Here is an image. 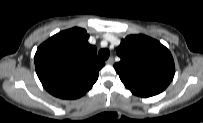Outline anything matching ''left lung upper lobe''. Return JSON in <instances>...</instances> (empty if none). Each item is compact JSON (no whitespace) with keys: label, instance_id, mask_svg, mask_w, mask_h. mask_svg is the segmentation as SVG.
I'll use <instances>...</instances> for the list:
<instances>
[{"label":"left lung upper lobe","instance_id":"left-lung-upper-lobe-1","mask_svg":"<svg viewBox=\"0 0 203 123\" xmlns=\"http://www.w3.org/2000/svg\"><path fill=\"white\" fill-rule=\"evenodd\" d=\"M114 64L123 84L135 95L151 97L164 91L175 74L170 51L148 36L129 35L117 48Z\"/></svg>","mask_w":203,"mask_h":123}]
</instances>
